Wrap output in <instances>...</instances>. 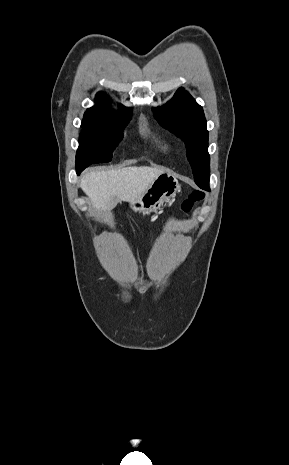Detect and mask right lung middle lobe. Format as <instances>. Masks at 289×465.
Returning a JSON list of instances; mask_svg holds the SVG:
<instances>
[{
    "label": "right lung middle lobe",
    "instance_id": "1",
    "mask_svg": "<svg viewBox=\"0 0 289 465\" xmlns=\"http://www.w3.org/2000/svg\"><path fill=\"white\" fill-rule=\"evenodd\" d=\"M121 110L112 112L113 120L103 126H85L80 133L76 166L85 169L94 163L109 162L115 146L123 138L124 126L131 116V108L120 105Z\"/></svg>",
    "mask_w": 289,
    "mask_h": 465
}]
</instances>
